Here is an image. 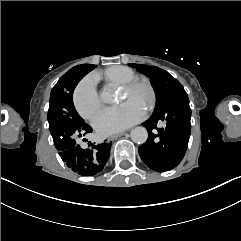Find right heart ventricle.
Here are the masks:
<instances>
[{
  "instance_id": "1",
  "label": "right heart ventricle",
  "mask_w": 241,
  "mask_h": 241,
  "mask_svg": "<svg viewBox=\"0 0 241 241\" xmlns=\"http://www.w3.org/2000/svg\"><path fill=\"white\" fill-rule=\"evenodd\" d=\"M132 77H134V72L125 66L113 65L105 70V78L117 84L123 85L125 81Z\"/></svg>"
}]
</instances>
